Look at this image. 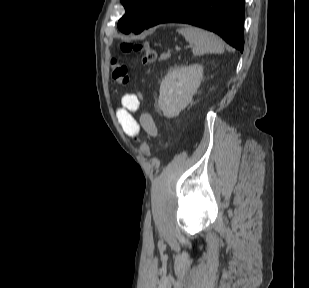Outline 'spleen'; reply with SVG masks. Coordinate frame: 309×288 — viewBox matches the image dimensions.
<instances>
[{
    "mask_svg": "<svg viewBox=\"0 0 309 288\" xmlns=\"http://www.w3.org/2000/svg\"><path fill=\"white\" fill-rule=\"evenodd\" d=\"M187 42L193 44V54L203 55L206 53L221 54L224 52L222 40L215 34L203 29L185 26L178 30Z\"/></svg>",
    "mask_w": 309,
    "mask_h": 288,
    "instance_id": "obj_1",
    "label": "spleen"
}]
</instances>
